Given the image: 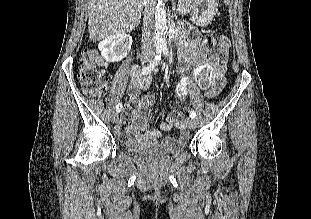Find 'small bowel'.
<instances>
[{
    "mask_svg": "<svg viewBox=\"0 0 311 219\" xmlns=\"http://www.w3.org/2000/svg\"><path fill=\"white\" fill-rule=\"evenodd\" d=\"M178 58L180 62V66L178 67L179 73L183 72L187 66L195 65L199 58L198 39L189 36V32L185 29L182 30L180 35ZM134 71V77L127 90L129 96L127 107L130 113L123 115L120 123L119 132L122 137L127 139L141 135L145 140L156 141L163 136V132L178 129L180 136L176 141L178 143L184 142L188 138V133L182 111H171L167 113L159 122L158 128L149 126L148 117L150 107L155 105L156 97L152 94H146L142 98H139V93L150 86L151 76L138 74L136 68ZM223 86V75L215 73L206 92V96L208 98L216 97L221 92ZM177 92L181 97L186 94L185 88L180 85L177 86Z\"/></svg>",
    "mask_w": 311,
    "mask_h": 219,
    "instance_id": "obj_1",
    "label": "small bowel"
}]
</instances>
